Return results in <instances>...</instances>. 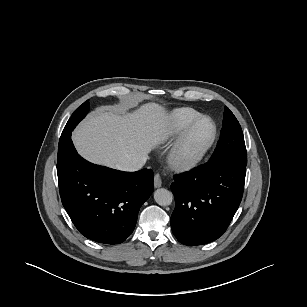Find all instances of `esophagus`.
Here are the masks:
<instances>
[{"mask_svg":"<svg viewBox=\"0 0 307 307\" xmlns=\"http://www.w3.org/2000/svg\"><path fill=\"white\" fill-rule=\"evenodd\" d=\"M162 185V180L159 174H155L154 176V187L159 188Z\"/></svg>","mask_w":307,"mask_h":307,"instance_id":"obj_1","label":"esophagus"}]
</instances>
